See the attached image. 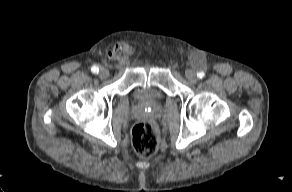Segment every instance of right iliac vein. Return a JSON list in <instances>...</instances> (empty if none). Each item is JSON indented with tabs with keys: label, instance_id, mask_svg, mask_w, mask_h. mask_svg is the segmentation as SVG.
<instances>
[{
	"label": "right iliac vein",
	"instance_id": "obj_1",
	"mask_svg": "<svg viewBox=\"0 0 292 192\" xmlns=\"http://www.w3.org/2000/svg\"><path fill=\"white\" fill-rule=\"evenodd\" d=\"M109 76V71L105 68H101L100 71H99V77L101 79H105Z\"/></svg>",
	"mask_w": 292,
	"mask_h": 192
}]
</instances>
